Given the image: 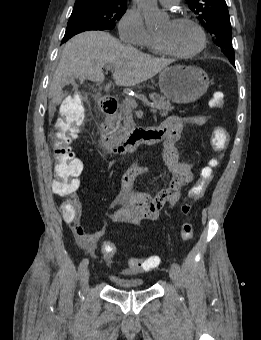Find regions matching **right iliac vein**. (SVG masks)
<instances>
[{
    "label": "right iliac vein",
    "instance_id": "obj_1",
    "mask_svg": "<svg viewBox=\"0 0 261 340\" xmlns=\"http://www.w3.org/2000/svg\"><path fill=\"white\" fill-rule=\"evenodd\" d=\"M89 276H90V272L89 269H85L82 273V278H81V287L84 293L87 292L88 290V281H89Z\"/></svg>",
    "mask_w": 261,
    "mask_h": 340
}]
</instances>
